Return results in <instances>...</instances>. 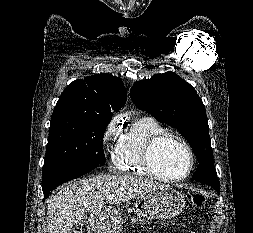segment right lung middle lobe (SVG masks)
I'll return each mask as SVG.
<instances>
[{"mask_svg":"<svg viewBox=\"0 0 253 233\" xmlns=\"http://www.w3.org/2000/svg\"><path fill=\"white\" fill-rule=\"evenodd\" d=\"M112 116L54 109L42 172L60 165L105 163L103 136Z\"/></svg>","mask_w":253,"mask_h":233,"instance_id":"obj_1","label":"right lung middle lobe"}]
</instances>
